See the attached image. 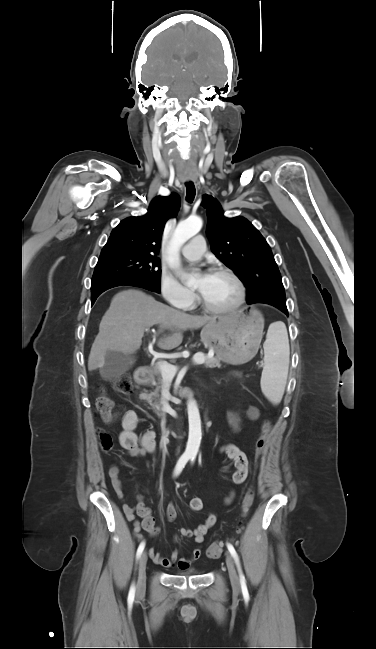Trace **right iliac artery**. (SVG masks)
I'll return each mask as SVG.
<instances>
[{
  "label": "right iliac artery",
  "instance_id": "obj_1",
  "mask_svg": "<svg viewBox=\"0 0 376 649\" xmlns=\"http://www.w3.org/2000/svg\"><path fill=\"white\" fill-rule=\"evenodd\" d=\"M189 459H190V457L188 455H182L179 458V460H178V462L176 464L175 470H174V475L175 476H178L181 473V471L183 470V468L185 467V465H186V463L188 462ZM144 547H145V543L142 542L139 545L138 549H137V554H136L137 559H139V557L141 556V554H142V552L144 550ZM134 595H135V585L132 584V586L130 588V592H129V597L133 598Z\"/></svg>",
  "mask_w": 376,
  "mask_h": 649
}]
</instances>
